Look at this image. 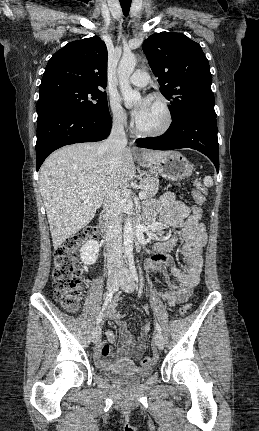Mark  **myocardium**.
Returning <instances> with one entry per match:
<instances>
[{
  "label": "myocardium",
  "instance_id": "1",
  "mask_svg": "<svg viewBox=\"0 0 259 431\" xmlns=\"http://www.w3.org/2000/svg\"><path fill=\"white\" fill-rule=\"evenodd\" d=\"M149 98L157 101L161 105L163 112H164V122L160 128L153 130V131L142 130L138 127L137 123L135 122L134 132L137 135L142 136V137H159V136L164 135L170 129V127L172 125L173 116H172L171 107H170L168 99L160 93H152L149 96Z\"/></svg>",
  "mask_w": 259,
  "mask_h": 431
}]
</instances>
